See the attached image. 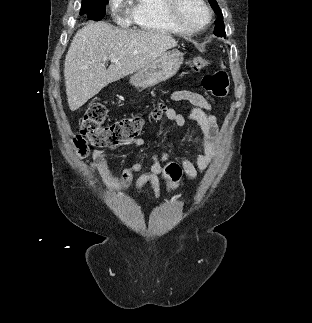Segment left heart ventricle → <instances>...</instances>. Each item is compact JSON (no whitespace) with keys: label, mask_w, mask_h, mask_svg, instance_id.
I'll list each match as a JSON object with an SVG mask.
<instances>
[{"label":"left heart ventricle","mask_w":312,"mask_h":323,"mask_svg":"<svg viewBox=\"0 0 312 323\" xmlns=\"http://www.w3.org/2000/svg\"><path fill=\"white\" fill-rule=\"evenodd\" d=\"M177 14H182V18H206L207 7H202L198 0H178Z\"/></svg>","instance_id":"1"}]
</instances>
